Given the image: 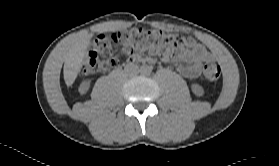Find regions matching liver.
Returning <instances> with one entry per match:
<instances>
[{"label":"liver","instance_id":"1","mask_svg":"<svg viewBox=\"0 0 279 166\" xmlns=\"http://www.w3.org/2000/svg\"><path fill=\"white\" fill-rule=\"evenodd\" d=\"M92 37V34H87L77 38L67 51L63 73L65 83L68 87L74 83L82 68L83 60Z\"/></svg>","mask_w":279,"mask_h":166}]
</instances>
